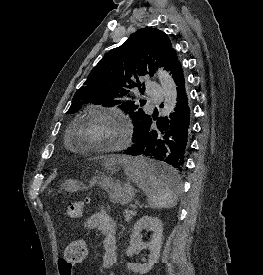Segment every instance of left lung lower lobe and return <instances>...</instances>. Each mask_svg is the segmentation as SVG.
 <instances>
[{
  "label": "left lung lower lobe",
  "instance_id": "1",
  "mask_svg": "<svg viewBox=\"0 0 263 275\" xmlns=\"http://www.w3.org/2000/svg\"><path fill=\"white\" fill-rule=\"evenodd\" d=\"M168 70L177 85V106L168 118H159V131L151 129L149 118L133 135V145L123 153L140 156L160 163H154L152 174L165 182L174 183L183 171L185 151L190 133V107L185 93L184 77L176 54L171 59ZM162 106V105H161Z\"/></svg>",
  "mask_w": 263,
  "mask_h": 275
}]
</instances>
